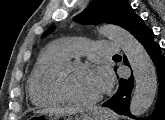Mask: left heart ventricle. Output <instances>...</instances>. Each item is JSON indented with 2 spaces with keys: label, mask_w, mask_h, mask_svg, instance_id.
Listing matches in <instances>:
<instances>
[{
  "label": "left heart ventricle",
  "mask_w": 165,
  "mask_h": 120,
  "mask_svg": "<svg viewBox=\"0 0 165 120\" xmlns=\"http://www.w3.org/2000/svg\"><path fill=\"white\" fill-rule=\"evenodd\" d=\"M69 91L77 98L91 99L102 92L90 69L74 70L68 79Z\"/></svg>",
  "instance_id": "1"
}]
</instances>
